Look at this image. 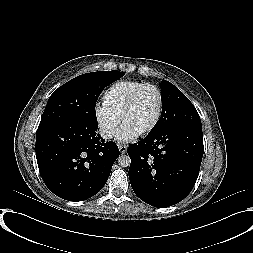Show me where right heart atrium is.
Masks as SVG:
<instances>
[{
  "label": "right heart atrium",
  "instance_id": "d8ad5b80",
  "mask_svg": "<svg viewBox=\"0 0 253 253\" xmlns=\"http://www.w3.org/2000/svg\"><path fill=\"white\" fill-rule=\"evenodd\" d=\"M94 117L100 135L105 139L113 137L120 122V116L110 111L103 104H97L94 109Z\"/></svg>",
  "mask_w": 253,
  "mask_h": 253
}]
</instances>
